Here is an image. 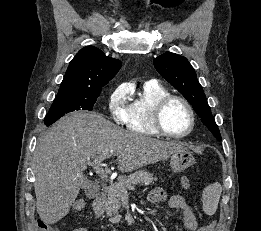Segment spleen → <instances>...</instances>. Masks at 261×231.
I'll return each instance as SVG.
<instances>
[{"instance_id":"spleen-1","label":"spleen","mask_w":261,"mask_h":231,"mask_svg":"<svg viewBox=\"0 0 261 231\" xmlns=\"http://www.w3.org/2000/svg\"><path fill=\"white\" fill-rule=\"evenodd\" d=\"M222 187L218 182L209 184L203 190V210L207 215H213L218 207Z\"/></svg>"}]
</instances>
